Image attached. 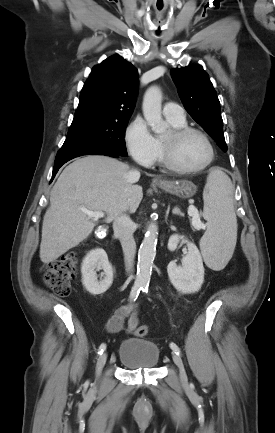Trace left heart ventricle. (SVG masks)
Instances as JSON below:
<instances>
[{
  "instance_id": "left-heart-ventricle-1",
  "label": "left heart ventricle",
  "mask_w": 275,
  "mask_h": 433,
  "mask_svg": "<svg viewBox=\"0 0 275 433\" xmlns=\"http://www.w3.org/2000/svg\"><path fill=\"white\" fill-rule=\"evenodd\" d=\"M164 140H170V132L164 137ZM174 158L176 162L186 168H194L205 163L209 158V147L205 139L199 134H190L174 146Z\"/></svg>"
}]
</instances>
